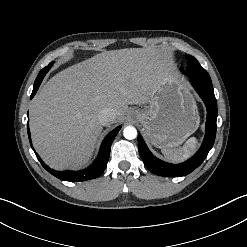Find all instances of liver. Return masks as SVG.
<instances>
[{
    "label": "liver",
    "mask_w": 247,
    "mask_h": 247,
    "mask_svg": "<svg viewBox=\"0 0 247 247\" xmlns=\"http://www.w3.org/2000/svg\"><path fill=\"white\" fill-rule=\"evenodd\" d=\"M172 73L159 50L106 51L53 76L30 104L32 142L54 169L75 168L91 157L102 125L98 115L110 108L120 122L128 105H144Z\"/></svg>",
    "instance_id": "obj_1"
}]
</instances>
